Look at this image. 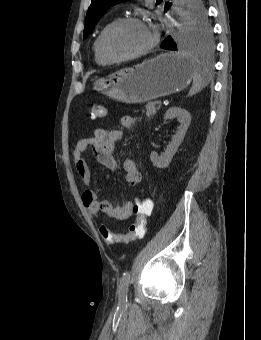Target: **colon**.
Wrapping results in <instances>:
<instances>
[{"label":"colon","instance_id":"colon-1","mask_svg":"<svg viewBox=\"0 0 261 340\" xmlns=\"http://www.w3.org/2000/svg\"><path fill=\"white\" fill-rule=\"evenodd\" d=\"M107 115V109L104 106L92 105L90 108L91 118H102ZM133 213L136 216L135 221L129 226L128 230L123 233H116L101 225L99 230L102 238L107 244L128 243L136 239L144 238L146 234L147 217L152 210V202L147 198H140L133 204Z\"/></svg>","mask_w":261,"mask_h":340}]
</instances>
